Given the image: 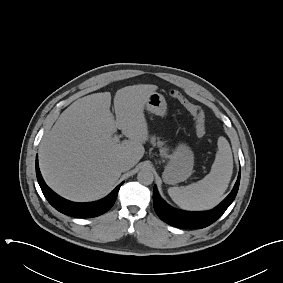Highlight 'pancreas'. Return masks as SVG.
I'll list each match as a JSON object with an SVG mask.
<instances>
[{
  "instance_id": "1",
  "label": "pancreas",
  "mask_w": 283,
  "mask_h": 283,
  "mask_svg": "<svg viewBox=\"0 0 283 283\" xmlns=\"http://www.w3.org/2000/svg\"><path fill=\"white\" fill-rule=\"evenodd\" d=\"M151 143L152 144H157V146H159V147H161V149H160V152H161V154L163 155V156H166L167 154H166V152H167V149L166 148H162V146H163V142H161V141H158L157 143H156V138L155 137H152L151 138Z\"/></svg>"
}]
</instances>
